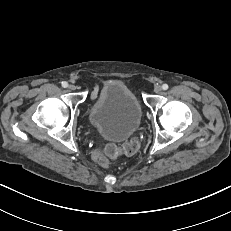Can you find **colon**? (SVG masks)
<instances>
[{"label":"colon","instance_id":"1","mask_svg":"<svg viewBox=\"0 0 231 231\" xmlns=\"http://www.w3.org/2000/svg\"><path fill=\"white\" fill-rule=\"evenodd\" d=\"M138 149L137 141H129L122 145V147L117 146L114 143H106L97 147L93 153V160L101 166H107L111 160L118 157L120 153L126 155H133Z\"/></svg>","mask_w":231,"mask_h":231}]
</instances>
